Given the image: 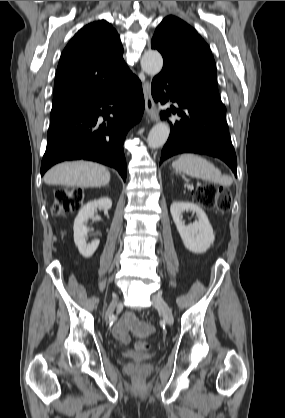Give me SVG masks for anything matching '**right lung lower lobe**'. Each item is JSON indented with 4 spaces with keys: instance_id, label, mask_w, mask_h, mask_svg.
I'll return each mask as SVG.
<instances>
[{
    "instance_id": "1",
    "label": "right lung lower lobe",
    "mask_w": 285,
    "mask_h": 418,
    "mask_svg": "<svg viewBox=\"0 0 285 418\" xmlns=\"http://www.w3.org/2000/svg\"><path fill=\"white\" fill-rule=\"evenodd\" d=\"M143 111L142 85L131 74L122 86L51 122L41 175L59 162L84 159L117 169L125 181L124 139L128 130L139 122ZM110 113L113 118L109 117ZM101 115L107 119V125L98 124Z\"/></svg>"
}]
</instances>
